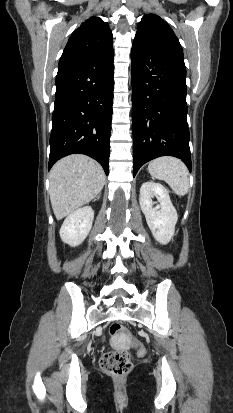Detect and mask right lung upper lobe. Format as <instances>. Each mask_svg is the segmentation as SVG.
Here are the masks:
<instances>
[{"label": "right lung upper lobe", "instance_id": "1", "mask_svg": "<svg viewBox=\"0 0 233 413\" xmlns=\"http://www.w3.org/2000/svg\"><path fill=\"white\" fill-rule=\"evenodd\" d=\"M112 31L108 23L98 17H90L69 38L59 65L90 58L111 48Z\"/></svg>", "mask_w": 233, "mask_h": 413}]
</instances>
